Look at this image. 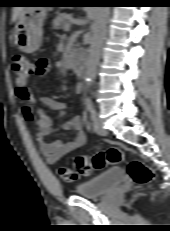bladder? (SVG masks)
I'll return each instance as SVG.
<instances>
[{"instance_id": "obj_1", "label": "bladder", "mask_w": 170, "mask_h": 231, "mask_svg": "<svg viewBox=\"0 0 170 231\" xmlns=\"http://www.w3.org/2000/svg\"><path fill=\"white\" fill-rule=\"evenodd\" d=\"M125 178L122 167L111 168L90 180L76 186L75 193L85 198H99L112 191Z\"/></svg>"}]
</instances>
